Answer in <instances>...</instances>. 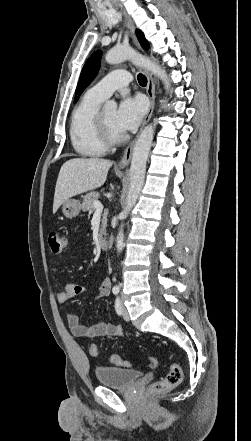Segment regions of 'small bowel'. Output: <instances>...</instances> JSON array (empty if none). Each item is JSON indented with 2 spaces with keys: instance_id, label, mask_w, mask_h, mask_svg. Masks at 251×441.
<instances>
[{
  "instance_id": "c3829d8e",
  "label": "small bowel",
  "mask_w": 251,
  "mask_h": 441,
  "mask_svg": "<svg viewBox=\"0 0 251 441\" xmlns=\"http://www.w3.org/2000/svg\"><path fill=\"white\" fill-rule=\"evenodd\" d=\"M88 291L84 285L69 283L56 293L59 303H66L72 298ZM110 293V281L107 278L101 280L94 291L96 298L106 297ZM67 324L71 333L80 338H93L100 336H123V328L109 322H98L92 326H85L80 323V319L73 313L66 314Z\"/></svg>"
}]
</instances>
